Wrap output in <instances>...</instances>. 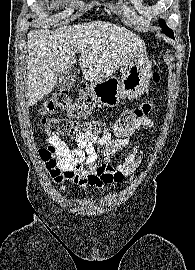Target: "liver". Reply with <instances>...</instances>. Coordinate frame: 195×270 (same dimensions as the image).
Masks as SVG:
<instances>
[{
	"label": "liver",
	"mask_w": 195,
	"mask_h": 270,
	"mask_svg": "<svg viewBox=\"0 0 195 270\" xmlns=\"http://www.w3.org/2000/svg\"><path fill=\"white\" fill-rule=\"evenodd\" d=\"M27 94L32 106L55 87L59 72L72 69L79 52L85 80L103 81L146 51L144 41L125 27L93 21L31 30L27 35Z\"/></svg>",
	"instance_id": "liver-1"
}]
</instances>
